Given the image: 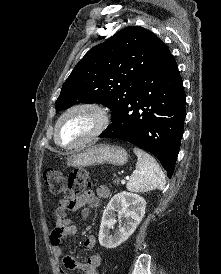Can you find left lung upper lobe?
<instances>
[{
    "label": "left lung upper lobe",
    "mask_w": 221,
    "mask_h": 274,
    "mask_svg": "<svg viewBox=\"0 0 221 274\" xmlns=\"http://www.w3.org/2000/svg\"><path fill=\"white\" fill-rule=\"evenodd\" d=\"M169 53L153 32L126 27L90 49L62 86L56 112L77 103L117 110L134 97L142 79Z\"/></svg>",
    "instance_id": "5c2ea615"
}]
</instances>
